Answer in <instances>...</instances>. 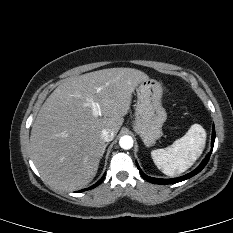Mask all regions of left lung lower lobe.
Masks as SVG:
<instances>
[{"mask_svg":"<svg viewBox=\"0 0 233 233\" xmlns=\"http://www.w3.org/2000/svg\"><path fill=\"white\" fill-rule=\"evenodd\" d=\"M214 141H215V129L213 127V131H212V144H211L212 147L214 146ZM211 152H212V150H211ZM211 152L206 156V158L203 160V162L199 165L198 168H196L191 173H189L187 175H184V176H181V177H178V178H173V179H157V178H152V177H149V176L145 175L140 170V168L138 166L137 167L139 169V172H140L141 176L144 179H146L147 181L151 182V183H154V184H173V183H177V182H181V181H184L186 179H189L192 176H194L197 173H199L205 167V165L207 164V162H208V160L210 158Z\"/></svg>","mask_w":233,"mask_h":233,"instance_id":"1","label":"left lung lower lobe"}]
</instances>
